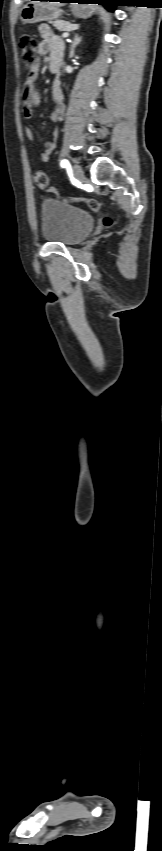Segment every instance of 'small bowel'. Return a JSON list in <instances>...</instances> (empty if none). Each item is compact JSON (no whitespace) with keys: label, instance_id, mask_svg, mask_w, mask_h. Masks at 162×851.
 <instances>
[{"label":"small bowel","instance_id":"1","mask_svg":"<svg viewBox=\"0 0 162 851\" xmlns=\"http://www.w3.org/2000/svg\"><path fill=\"white\" fill-rule=\"evenodd\" d=\"M39 32L42 37V40L38 44V53L40 55H47L49 61L57 60L60 64L63 59V42L57 37V35L52 31V29L47 24H41L39 26ZM39 72V61L36 60L32 68L29 70L22 95V110L24 117L26 119H31L33 117V110L40 104V96L35 89L34 82L38 77ZM52 95L54 100L56 101V107L54 112L50 115V122L56 123L63 120L65 106L62 102L63 93L60 87L59 80H56L53 84ZM24 132L26 137L30 141H34V134L32 129L29 126L24 127ZM58 138V132H53V140L47 141L44 145V149L41 152L40 159L42 162L46 163L50 159V155L53 153L56 147V140Z\"/></svg>","mask_w":162,"mask_h":851}]
</instances>
